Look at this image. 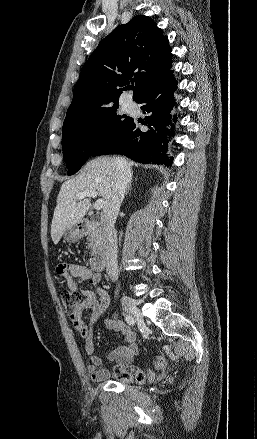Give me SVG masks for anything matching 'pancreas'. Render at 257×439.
<instances>
[{"mask_svg":"<svg viewBox=\"0 0 257 439\" xmlns=\"http://www.w3.org/2000/svg\"><path fill=\"white\" fill-rule=\"evenodd\" d=\"M87 241H88V248L91 249L92 254H94L95 248L92 241V233L87 237Z\"/></svg>","mask_w":257,"mask_h":439,"instance_id":"pancreas-1","label":"pancreas"}]
</instances>
